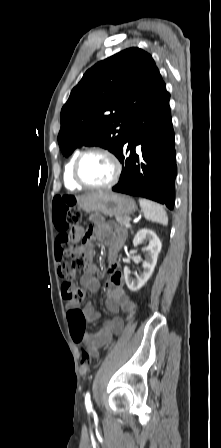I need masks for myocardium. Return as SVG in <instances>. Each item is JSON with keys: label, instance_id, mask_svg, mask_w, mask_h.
<instances>
[{"label": "myocardium", "instance_id": "obj_1", "mask_svg": "<svg viewBox=\"0 0 221 448\" xmlns=\"http://www.w3.org/2000/svg\"><path fill=\"white\" fill-rule=\"evenodd\" d=\"M99 153L106 156L112 164L113 176L111 180L102 185H94L87 183L80 175V166L82 161L90 154ZM122 173V165L119 158L109 149L94 147L81 152L74 161L72 167V178L81 187L88 189H107L113 187L120 179Z\"/></svg>", "mask_w": 221, "mask_h": 448}]
</instances>
